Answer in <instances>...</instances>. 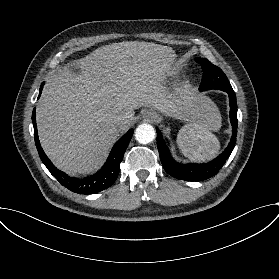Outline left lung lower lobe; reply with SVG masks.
<instances>
[{"instance_id": "obj_1", "label": "left lung lower lobe", "mask_w": 279, "mask_h": 279, "mask_svg": "<svg viewBox=\"0 0 279 279\" xmlns=\"http://www.w3.org/2000/svg\"><path fill=\"white\" fill-rule=\"evenodd\" d=\"M225 92L228 93L230 99V121L232 125V137L226 149L214 160L205 164H180L176 162L172 158L160 131L157 129V147L160 159L163 168L169 175L180 180L203 181L216 175L222 168L226 160L229 158L236 143V134L238 126L237 103L236 95L233 89L227 90Z\"/></svg>"}]
</instances>
